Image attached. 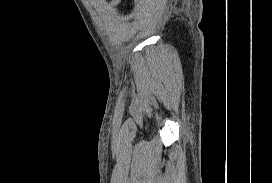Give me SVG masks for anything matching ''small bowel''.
<instances>
[{"mask_svg": "<svg viewBox=\"0 0 272 183\" xmlns=\"http://www.w3.org/2000/svg\"><path fill=\"white\" fill-rule=\"evenodd\" d=\"M114 1H116V0H113V1L111 2V4L114 3Z\"/></svg>", "mask_w": 272, "mask_h": 183, "instance_id": "small-bowel-1", "label": "small bowel"}]
</instances>
